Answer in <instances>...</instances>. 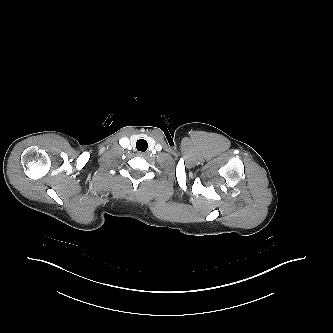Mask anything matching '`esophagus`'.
<instances>
[{"mask_svg":"<svg viewBox=\"0 0 333 333\" xmlns=\"http://www.w3.org/2000/svg\"><path fill=\"white\" fill-rule=\"evenodd\" d=\"M146 155L145 152H137V156L144 157Z\"/></svg>","mask_w":333,"mask_h":333,"instance_id":"obj_1","label":"esophagus"}]
</instances>
